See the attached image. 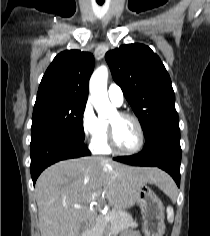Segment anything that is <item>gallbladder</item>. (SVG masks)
<instances>
[{"mask_svg":"<svg viewBox=\"0 0 210 236\" xmlns=\"http://www.w3.org/2000/svg\"><path fill=\"white\" fill-rule=\"evenodd\" d=\"M85 230V223H83L80 227L79 234H81ZM80 236V235H79Z\"/></svg>","mask_w":210,"mask_h":236,"instance_id":"bac80fb5","label":"gallbladder"}]
</instances>
